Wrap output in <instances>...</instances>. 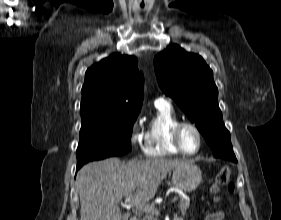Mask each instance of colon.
I'll use <instances>...</instances> for the list:
<instances>
[{
  "label": "colon",
  "mask_w": 281,
  "mask_h": 220,
  "mask_svg": "<svg viewBox=\"0 0 281 220\" xmlns=\"http://www.w3.org/2000/svg\"><path fill=\"white\" fill-rule=\"evenodd\" d=\"M230 173L231 170L228 166H224L222 169H220L212 184V193L216 195L220 188L226 185L228 186L230 192L234 190V185L230 181ZM206 220H224V213L222 211L212 212L207 216Z\"/></svg>",
  "instance_id": "5ec220e1"
}]
</instances>
